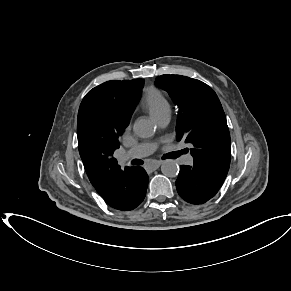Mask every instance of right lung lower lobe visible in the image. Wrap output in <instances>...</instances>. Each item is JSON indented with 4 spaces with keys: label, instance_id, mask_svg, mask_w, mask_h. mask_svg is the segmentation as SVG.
Listing matches in <instances>:
<instances>
[{
    "label": "right lung lower lobe",
    "instance_id": "98d812e1",
    "mask_svg": "<svg viewBox=\"0 0 291 291\" xmlns=\"http://www.w3.org/2000/svg\"><path fill=\"white\" fill-rule=\"evenodd\" d=\"M148 175L142 167H128L124 173V194L117 202L108 203L120 211H130L139 206L145 198Z\"/></svg>",
    "mask_w": 291,
    "mask_h": 291
}]
</instances>
